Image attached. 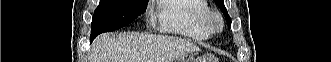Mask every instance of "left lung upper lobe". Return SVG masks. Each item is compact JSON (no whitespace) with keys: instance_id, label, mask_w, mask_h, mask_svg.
<instances>
[{"instance_id":"1","label":"left lung upper lobe","mask_w":331,"mask_h":62,"mask_svg":"<svg viewBox=\"0 0 331 62\" xmlns=\"http://www.w3.org/2000/svg\"><path fill=\"white\" fill-rule=\"evenodd\" d=\"M215 2L217 3V5L220 7L221 11L223 12L227 22H228V25L230 26L231 24V18L230 16L228 15V12L224 6V0H215Z\"/></svg>"}]
</instances>
